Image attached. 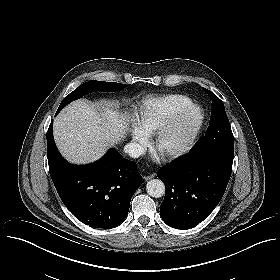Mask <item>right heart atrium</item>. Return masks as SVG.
<instances>
[{
  "label": "right heart atrium",
  "instance_id": "d8ad5b80",
  "mask_svg": "<svg viewBox=\"0 0 280 280\" xmlns=\"http://www.w3.org/2000/svg\"><path fill=\"white\" fill-rule=\"evenodd\" d=\"M133 144L138 149H144L146 147V140L144 138H141L139 135H135L133 139Z\"/></svg>",
  "mask_w": 280,
  "mask_h": 280
}]
</instances>
